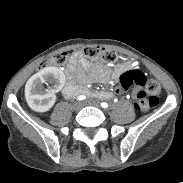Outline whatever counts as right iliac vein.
Listing matches in <instances>:
<instances>
[{"label": "right iliac vein", "mask_w": 183, "mask_h": 183, "mask_svg": "<svg viewBox=\"0 0 183 183\" xmlns=\"http://www.w3.org/2000/svg\"><path fill=\"white\" fill-rule=\"evenodd\" d=\"M72 108H73V110L78 111L82 108V103L79 102V101L74 102L73 105H72Z\"/></svg>", "instance_id": "1"}]
</instances>
